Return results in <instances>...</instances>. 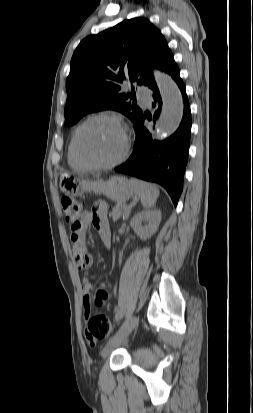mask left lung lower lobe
<instances>
[{
  "label": "left lung lower lobe",
  "instance_id": "left-lung-lower-lobe-1",
  "mask_svg": "<svg viewBox=\"0 0 253 413\" xmlns=\"http://www.w3.org/2000/svg\"><path fill=\"white\" fill-rule=\"evenodd\" d=\"M164 71L171 75L182 94L184 109L179 128L168 139L153 141L151 133L144 126L145 120H151L152 116L142 113L134 122L135 149L129 159L115 168V171L159 183L167 190L176 206L183 189L185 167L188 161L191 112L185 86L173 56L169 59ZM149 88L153 91L152 106L156 107L153 121L156 122L161 113L162 100L155 82Z\"/></svg>",
  "mask_w": 253,
  "mask_h": 413
}]
</instances>
